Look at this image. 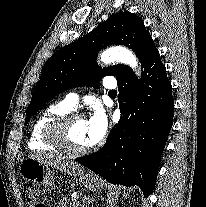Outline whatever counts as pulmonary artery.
I'll return each mask as SVG.
<instances>
[{
  "mask_svg": "<svg viewBox=\"0 0 206 207\" xmlns=\"http://www.w3.org/2000/svg\"><path fill=\"white\" fill-rule=\"evenodd\" d=\"M104 86L106 88L114 89L116 83L112 77H106L104 81ZM79 100V94L76 92H70L66 95L64 102L71 108L75 109L77 107Z\"/></svg>",
  "mask_w": 206,
  "mask_h": 207,
  "instance_id": "obj_1",
  "label": "pulmonary artery"
}]
</instances>
